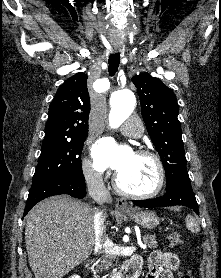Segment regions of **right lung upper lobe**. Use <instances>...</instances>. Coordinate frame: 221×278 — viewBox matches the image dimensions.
Masks as SVG:
<instances>
[{
    "mask_svg": "<svg viewBox=\"0 0 221 278\" xmlns=\"http://www.w3.org/2000/svg\"><path fill=\"white\" fill-rule=\"evenodd\" d=\"M89 113L87 75L77 73L60 86L49 106L43 143L87 135Z\"/></svg>",
    "mask_w": 221,
    "mask_h": 278,
    "instance_id": "cb5924a9",
    "label": "right lung upper lobe"
}]
</instances>
